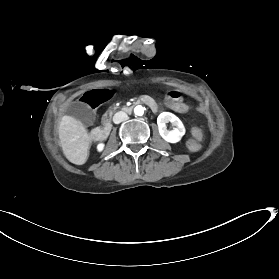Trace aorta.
I'll list each match as a JSON object with an SVG mask.
<instances>
[{
    "label": "aorta",
    "mask_w": 279,
    "mask_h": 279,
    "mask_svg": "<svg viewBox=\"0 0 279 279\" xmlns=\"http://www.w3.org/2000/svg\"><path fill=\"white\" fill-rule=\"evenodd\" d=\"M134 113L138 116H142L144 113V107L141 105H138L134 108Z\"/></svg>",
    "instance_id": "762f6f07"
}]
</instances>
